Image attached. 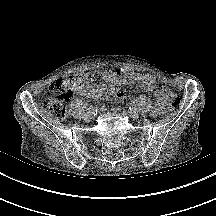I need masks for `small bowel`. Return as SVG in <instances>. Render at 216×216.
Wrapping results in <instances>:
<instances>
[{
	"instance_id": "c3829d8e",
	"label": "small bowel",
	"mask_w": 216,
	"mask_h": 216,
	"mask_svg": "<svg viewBox=\"0 0 216 216\" xmlns=\"http://www.w3.org/2000/svg\"><path fill=\"white\" fill-rule=\"evenodd\" d=\"M102 78L104 82L112 83L116 86L135 84L141 89L153 91L157 101L153 107L152 113L156 116L162 113L164 104L167 100L168 90L159 88L156 79L152 75H140L126 69H121L118 72L105 70L102 74ZM104 82L97 85H88L86 82H83L75 86V91L80 95L94 99H97L103 94L109 92L117 101H123L125 97L124 93L117 88L108 87Z\"/></svg>"
}]
</instances>
